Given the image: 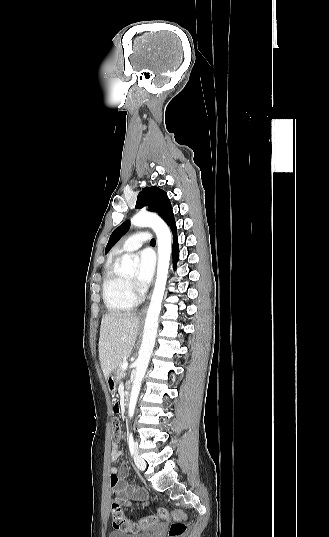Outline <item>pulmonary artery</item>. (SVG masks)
<instances>
[{"label": "pulmonary artery", "instance_id": "pulmonary-artery-1", "mask_svg": "<svg viewBox=\"0 0 329 537\" xmlns=\"http://www.w3.org/2000/svg\"><path fill=\"white\" fill-rule=\"evenodd\" d=\"M150 240V234L147 232H138L128 237L117 250V253L131 252L139 249L143 244Z\"/></svg>", "mask_w": 329, "mask_h": 537}]
</instances>
